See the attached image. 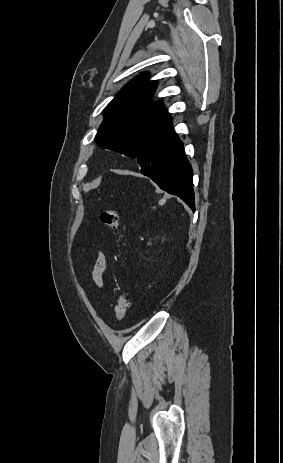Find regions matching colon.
I'll list each match as a JSON object with an SVG mask.
<instances>
[{
    "label": "colon",
    "mask_w": 283,
    "mask_h": 463,
    "mask_svg": "<svg viewBox=\"0 0 283 463\" xmlns=\"http://www.w3.org/2000/svg\"><path fill=\"white\" fill-rule=\"evenodd\" d=\"M100 221L107 227L118 230L121 222L118 213L112 209H105L100 213ZM128 300L124 293H120L118 296L117 304L115 307V315L117 321H122L127 313Z\"/></svg>",
    "instance_id": "colon-1"
}]
</instances>
